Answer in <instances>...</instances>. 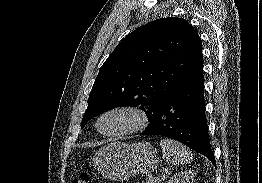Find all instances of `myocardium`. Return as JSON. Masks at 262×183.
I'll list each match as a JSON object with an SVG mask.
<instances>
[{"label":"myocardium","instance_id":"f54148a6","mask_svg":"<svg viewBox=\"0 0 262 183\" xmlns=\"http://www.w3.org/2000/svg\"><path fill=\"white\" fill-rule=\"evenodd\" d=\"M114 112L130 113L134 117V122L130 127L122 131H118L115 133H105L101 130L100 123L106 115L110 113H114ZM148 122H149V118H148L147 112L143 108L137 105H133V104H120V105L111 106L105 109L104 111H102L97 118L96 128L98 132L102 134L103 136L108 137V138H116V137H122L128 134H132V133L141 131L148 125Z\"/></svg>","mask_w":262,"mask_h":183}]
</instances>
